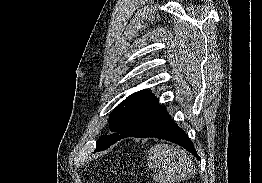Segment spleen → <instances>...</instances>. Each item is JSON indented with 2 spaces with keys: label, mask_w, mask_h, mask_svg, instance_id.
Wrapping results in <instances>:
<instances>
[{
  "label": "spleen",
  "mask_w": 262,
  "mask_h": 183,
  "mask_svg": "<svg viewBox=\"0 0 262 183\" xmlns=\"http://www.w3.org/2000/svg\"><path fill=\"white\" fill-rule=\"evenodd\" d=\"M147 164L157 172L153 180L159 183H179L194 173L192 161L185 151L168 144H156L151 147Z\"/></svg>",
  "instance_id": "3e777b00"
}]
</instances>
